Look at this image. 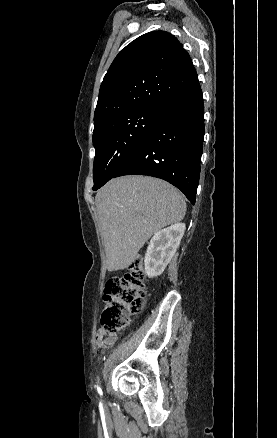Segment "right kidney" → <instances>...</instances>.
Instances as JSON below:
<instances>
[{"mask_svg": "<svg viewBox=\"0 0 277 438\" xmlns=\"http://www.w3.org/2000/svg\"><path fill=\"white\" fill-rule=\"evenodd\" d=\"M185 230V224H173V226L159 230L154 234L149 242L144 260V270L148 278H156L164 272L180 246Z\"/></svg>", "mask_w": 277, "mask_h": 438, "instance_id": "1", "label": "right kidney"}]
</instances>
